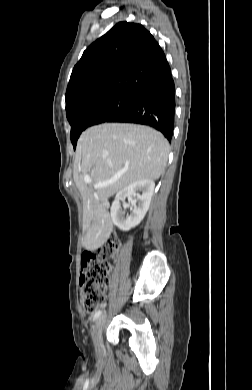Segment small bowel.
Returning <instances> with one entry per match:
<instances>
[{"label":"small bowel","instance_id":"small-bowel-1","mask_svg":"<svg viewBox=\"0 0 252 390\" xmlns=\"http://www.w3.org/2000/svg\"><path fill=\"white\" fill-rule=\"evenodd\" d=\"M104 306H105V304H104V303H102L101 307H104Z\"/></svg>","mask_w":252,"mask_h":390}]
</instances>
